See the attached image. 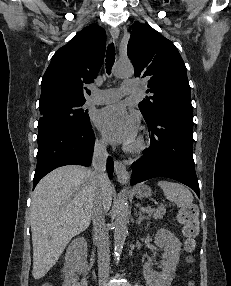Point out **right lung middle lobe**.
<instances>
[{
	"mask_svg": "<svg viewBox=\"0 0 231 286\" xmlns=\"http://www.w3.org/2000/svg\"><path fill=\"white\" fill-rule=\"evenodd\" d=\"M84 103L85 101H58L40 106L39 133L63 124L90 123L88 111L82 109Z\"/></svg>",
	"mask_w": 231,
	"mask_h": 286,
	"instance_id": "1",
	"label": "right lung middle lobe"
}]
</instances>
